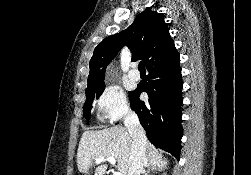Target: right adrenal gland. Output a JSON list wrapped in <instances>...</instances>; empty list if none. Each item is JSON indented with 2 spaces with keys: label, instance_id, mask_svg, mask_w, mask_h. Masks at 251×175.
Wrapping results in <instances>:
<instances>
[{
  "label": "right adrenal gland",
  "instance_id": "1",
  "mask_svg": "<svg viewBox=\"0 0 251 175\" xmlns=\"http://www.w3.org/2000/svg\"><path fill=\"white\" fill-rule=\"evenodd\" d=\"M160 171H162V169H159V167H153V165H149L144 175H149V173H160Z\"/></svg>",
  "mask_w": 251,
  "mask_h": 175
}]
</instances>
